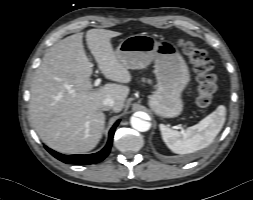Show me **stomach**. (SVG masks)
Returning a JSON list of instances; mask_svg holds the SVG:
<instances>
[{"instance_id": "stomach-1", "label": "stomach", "mask_w": 253, "mask_h": 200, "mask_svg": "<svg viewBox=\"0 0 253 200\" xmlns=\"http://www.w3.org/2000/svg\"><path fill=\"white\" fill-rule=\"evenodd\" d=\"M115 55L128 69L145 68L154 60L157 88L149 98V106L161 117L181 114V93L190 81V74L176 47L162 44L146 34H136L123 39Z\"/></svg>"}]
</instances>
